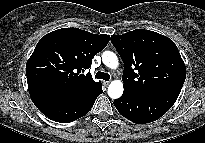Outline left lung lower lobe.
<instances>
[{
	"mask_svg": "<svg viewBox=\"0 0 205 143\" xmlns=\"http://www.w3.org/2000/svg\"><path fill=\"white\" fill-rule=\"evenodd\" d=\"M180 90L168 89L144 95H123L114 100L118 112L133 123H149L164 115L176 102Z\"/></svg>",
	"mask_w": 205,
	"mask_h": 143,
	"instance_id": "obj_1",
	"label": "left lung lower lobe"
}]
</instances>
